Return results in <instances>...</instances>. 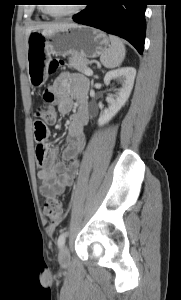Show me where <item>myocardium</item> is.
Segmentation results:
<instances>
[{
	"mask_svg": "<svg viewBox=\"0 0 181 300\" xmlns=\"http://www.w3.org/2000/svg\"><path fill=\"white\" fill-rule=\"evenodd\" d=\"M79 6L74 7L73 9H71L70 11L64 12V13H54L53 11H51V9L49 8V6L46 4L45 6H43V10L44 12L53 17V18H63V17H67V16H71L76 14L79 11Z\"/></svg>",
	"mask_w": 181,
	"mask_h": 300,
	"instance_id": "myocardium-1",
	"label": "myocardium"
}]
</instances>
